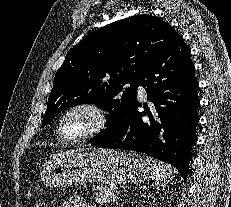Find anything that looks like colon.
<instances>
[{
	"label": "colon",
	"instance_id": "colon-1",
	"mask_svg": "<svg viewBox=\"0 0 231 207\" xmlns=\"http://www.w3.org/2000/svg\"><path fill=\"white\" fill-rule=\"evenodd\" d=\"M36 207H50L48 203H41L37 205Z\"/></svg>",
	"mask_w": 231,
	"mask_h": 207
}]
</instances>
